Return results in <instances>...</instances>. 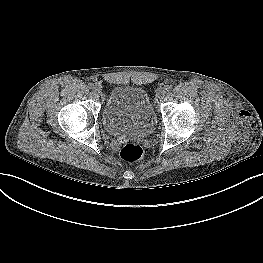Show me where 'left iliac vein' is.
Masks as SVG:
<instances>
[{"instance_id":"4c4485c4","label":"left iliac vein","mask_w":263,"mask_h":263,"mask_svg":"<svg viewBox=\"0 0 263 263\" xmlns=\"http://www.w3.org/2000/svg\"><path fill=\"white\" fill-rule=\"evenodd\" d=\"M157 97L159 100H161L163 97H164V93L162 91H160L158 94H157Z\"/></svg>"}]
</instances>
